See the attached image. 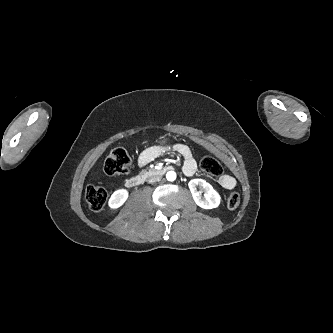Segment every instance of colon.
Instances as JSON below:
<instances>
[{
  "instance_id": "5ec220e1",
  "label": "colon",
  "mask_w": 333,
  "mask_h": 333,
  "mask_svg": "<svg viewBox=\"0 0 333 333\" xmlns=\"http://www.w3.org/2000/svg\"><path fill=\"white\" fill-rule=\"evenodd\" d=\"M131 157L124 148L114 149L107 157L104 170L109 175L124 174L131 166ZM200 167L203 171L212 174L220 175L222 167L220 163L211 156H204L200 161ZM107 191L99 186H89L85 191L86 201L93 211H100L106 204ZM240 205V195L238 192H232L227 200L229 209H236Z\"/></svg>"
}]
</instances>
